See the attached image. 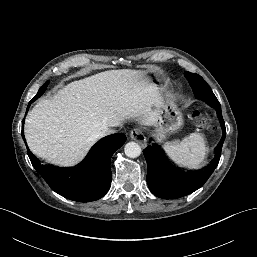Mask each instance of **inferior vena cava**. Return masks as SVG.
Here are the masks:
<instances>
[{
    "instance_id": "1",
    "label": "inferior vena cava",
    "mask_w": 257,
    "mask_h": 257,
    "mask_svg": "<svg viewBox=\"0 0 257 257\" xmlns=\"http://www.w3.org/2000/svg\"><path fill=\"white\" fill-rule=\"evenodd\" d=\"M113 133H115V130L112 129V128H108V129H106L102 132V136L110 135V134H113Z\"/></svg>"
}]
</instances>
